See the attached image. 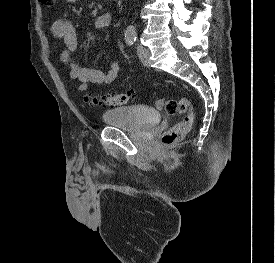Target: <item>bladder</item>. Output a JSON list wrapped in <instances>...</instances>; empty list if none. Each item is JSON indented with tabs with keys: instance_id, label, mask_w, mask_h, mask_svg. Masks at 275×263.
<instances>
[{
	"instance_id": "31cf9c89",
	"label": "bladder",
	"mask_w": 275,
	"mask_h": 263,
	"mask_svg": "<svg viewBox=\"0 0 275 263\" xmlns=\"http://www.w3.org/2000/svg\"><path fill=\"white\" fill-rule=\"evenodd\" d=\"M101 119L108 126L138 130L156 125L160 114L149 106H122L105 111Z\"/></svg>"
}]
</instances>
